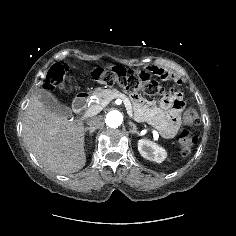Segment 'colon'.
Returning a JSON list of instances; mask_svg holds the SVG:
<instances>
[{"mask_svg": "<svg viewBox=\"0 0 236 236\" xmlns=\"http://www.w3.org/2000/svg\"><path fill=\"white\" fill-rule=\"evenodd\" d=\"M118 67L96 68L91 73V80L105 85H120L128 94L132 96L145 95L149 97L162 96L169 101L180 100L177 92L172 87L161 83L155 78H128L118 74ZM68 68L65 64H54L48 74L44 88L48 91H55L62 88L66 83ZM183 122L187 126L197 125L200 121L199 113L195 107H188L182 116ZM198 142V136L185 129L180 133L179 145L184 156L191 154L193 147Z\"/></svg>", "mask_w": 236, "mask_h": 236, "instance_id": "5ec220e1", "label": "colon"}]
</instances>
